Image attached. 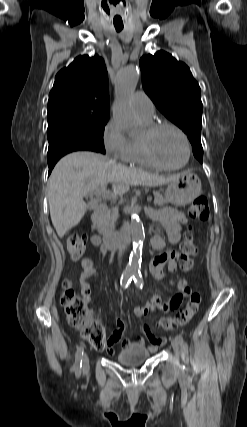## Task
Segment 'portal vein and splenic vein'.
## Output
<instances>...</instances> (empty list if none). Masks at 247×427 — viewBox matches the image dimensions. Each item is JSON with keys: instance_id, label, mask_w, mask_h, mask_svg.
<instances>
[{"instance_id": "portal-vein-and-splenic-vein-1", "label": "portal vein and splenic vein", "mask_w": 247, "mask_h": 427, "mask_svg": "<svg viewBox=\"0 0 247 427\" xmlns=\"http://www.w3.org/2000/svg\"><path fill=\"white\" fill-rule=\"evenodd\" d=\"M95 194L97 195V196H102L103 198H116L118 195H119V193L118 192H108V191H106L105 190V188L104 187H102V188H100V189H98V190H96L95 191ZM152 200V197L151 196H148L147 197V201L148 202H150Z\"/></svg>"}]
</instances>
